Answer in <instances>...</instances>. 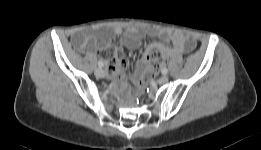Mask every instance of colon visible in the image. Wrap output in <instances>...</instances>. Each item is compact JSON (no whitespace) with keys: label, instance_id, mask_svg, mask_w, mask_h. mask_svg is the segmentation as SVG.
I'll list each match as a JSON object with an SVG mask.
<instances>
[{"label":"colon","instance_id":"5ec220e1","mask_svg":"<svg viewBox=\"0 0 261 150\" xmlns=\"http://www.w3.org/2000/svg\"><path fill=\"white\" fill-rule=\"evenodd\" d=\"M148 67L144 69L135 84V88L138 89L144 85V83L158 70L164 61V55L159 47H152L147 54Z\"/></svg>","mask_w":261,"mask_h":150}]
</instances>
